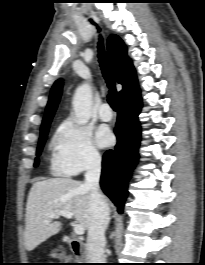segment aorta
Instances as JSON below:
<instances>
[{"label": "aorta", "mask_w": 205, "mask_h": 265, "mask_svg": "<svg viewBox=\"0 0 205 265\" xmlns=\"http://www.w3.org/2000/svg\"><path fill=\"white\" fill-rule=\"evenodd\" d=\"M73 110L76 123L86 124L91 118L92 92L89 84L84 83L79 86L73 96Z\"/></svg>", "instance_id": "aorta-1"}]
</instances>
